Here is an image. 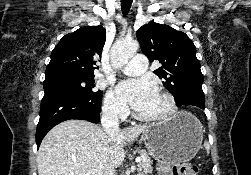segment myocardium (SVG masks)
Here are the masks:
<instances>
[{"label": "myocardium", "instance_id": "f54148a6", "mask_svg": "<svg viewBox=\"0 0 251 175\" xmlns=\"http://www.w3.org/2000/svg\"><path fill=\"white\" fill-rule=\"evenodd\" d=\"M159 95L163 98V100L166 103V110L157 115H144L143 118L146 119L147 121L151 122H167L171 119H173L179 112V104L178 101L175 97V95L168 91V90H162Z\"/></svg>", "mask_w": 251, "mask_h": 175}]
</instances>
